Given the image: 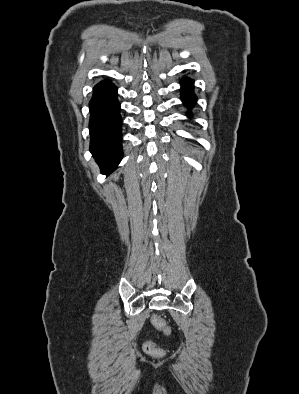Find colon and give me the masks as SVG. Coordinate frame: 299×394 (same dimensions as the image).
<instances>
[{"label": "colon", "mask_w": 299, "mask_h": 394, "mask_svg": "<svg viewBox=\"0 0 299 394\" xmlns=\"http://www.w3.org/2000/svg\"><path fill=\"white\" fill-rule=\"evenodd\" d=\"M153 324L164 334L169 335L171 330L169 326L165 323L162 317L159 315H154L152 318ZM144 351L151 357L160 358L164 355V351L158 347L157 343L154 341H147L143 346Z\"/></svg>", "instance_id": "1"}]
</instances>
